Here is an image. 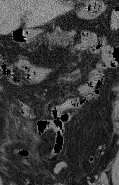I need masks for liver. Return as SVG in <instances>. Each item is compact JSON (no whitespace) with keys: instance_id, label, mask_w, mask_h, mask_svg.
Here are the masks:
<instances>
[{"instance_id":"6515ba94","label":"liver","mask_w":119,"mask_h":185,"mask_svg":"<svg viewBox=\"0 0 119 185\" xmlns=\"http://www.w3.org/2000/svg\"><path fill=\"white\" fill-rule=\"evenodd\" d=\"M71 10L59 0H0V34L7 35L19 29L20 18L27 13L26 27L43 25Z\"/></svg>"}]
</instances>
